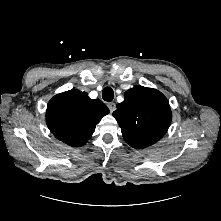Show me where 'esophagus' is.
<instances>
[{"instance_id": "34e87169", "label": "esophagus", "mask_w": 221, "mask_h": 221, "mask_svg": "<svg viewBox=\"0 0 221 221\" xmlns=\"http://www.w3.org/2000/svg\"><path fill=\"white\" fill-rule=\"evenodd\" d=\"M107 106L111 112L115 111V103L114 102L108 103Z\"/></svg>"}]
</instances>
